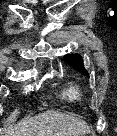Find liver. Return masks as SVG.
<instances>
[{
	"mask_svg": "<svg viewBox=\"0 0 117 136\" xmlns=\"http://www.w3.org/2000/svg\"><path fill=\"white\" fill-rule=\"evenodd\" d=\"M17 112L7 120L11 123ZM89 132L87 124L74 116L58 111H46L30 119H26L14 132L8 130L10 136H83Z\"/></svg>",
	"mask_w": 117,
	"mask_h": 136,
	"instance_id": "1",
	"label": "liver"
}]
</instances>
